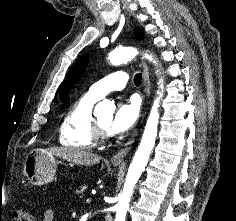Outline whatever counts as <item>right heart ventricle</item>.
I'll use <instances>...</instances> for the list:
<instances>
[{
    "label": "right heart ventricle",
    "instance_id": "obj_1",
    "mask_svg": "<svg viewBox=\"0 0 236 221\" xmlns=\"http://www.w3.org/2000/svg\"><path fill=\"white\" fill-rule=\"evenodd\" d=\"M97 99L84 94L65 113L59 127V142L66 148L90 150L96 145L92 109Z\"/></svg>",
    "mask_w": 236,
    "mask_h": 221
}]
</instances>
